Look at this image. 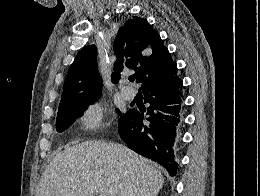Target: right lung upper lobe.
Returning a JSON list of instances; mask_svg holds the SVG:
<instances>
[{
    "instance_id": "1",
    "label": "right lung upper lobe",
    "mask_w": 260,
    "mask_h": 196,
    "mask_svg": "<svg viewBox=\"0 0 260 196\" xmlns=\"http://www.w3.org/2000/svg\"><path fill=\"white\" fill-rule=\"evenodd\" d=\"M114 53L117 56L112 73L114 83L119 81L120 73L126 68L136 71V82L142 86L177 69L159 34L140 17H134L120 27L114 41ZM101 86L96 47L90 45L78 53L68 70L58 111L81 98L101 94Z\"/></svg>"
}]
</instances>
